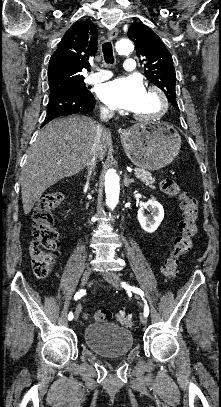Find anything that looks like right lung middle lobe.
Returning a JSON list of instances; mask_svg holds the SVG:
<instances>
[{"label": "right lung middle lobe", "instance_id": "obj_1", "mask_svg": "<svg viewBox=\"0 0 221 407\" xmlns=\"http://www.w3.org/2000/svg\"><path fill=\"white\" fill-rule=\"evenodd\" d=\"M62 93H76V94H90V91L85 86L84 82L70 84L50 90V97L62 94Z\"/></svg>", "mask_w": 221, "mask_h": 407}]
</instances>
